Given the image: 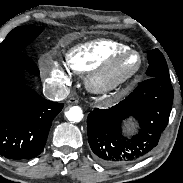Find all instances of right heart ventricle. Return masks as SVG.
Segmentation results:
<instances>
[{
  "label": "right heart ventricle",
  "instance_id": "1",
  "mask_svg": "<svg viewBox=\"0 0 183 183\" xmlns=\"http://www.w3.org/2000/svg\"><path fill=\"white\" fill-rule=\"evenodd\" d=\"M128 48L125 44L110 40L96 39L78 44L65 54L66 66L83 75L101 66L113 53Z\"/></svg>",
  "mask_w": 183,
  "mask_h": 183
}]
</instances>
